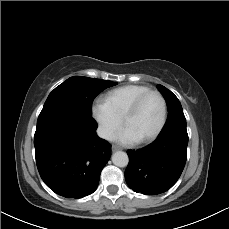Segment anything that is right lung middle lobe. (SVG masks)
<instances>
[{
    "label": "right lung middle lobe",
    "mask_w": 229,
    "mask_h": 229,
    "mask_svg": "<svg viewBox=\"0 0 229 229\" xmlns=\"http://www.w3.org/2000/svg\"><path fill=\"white\" fill-rule=\"evenodd\" d=\"M117 83L109 80L73 76L57 86L48 96L40 114L72 110L91 115L94 98Z\"/></svg>",
    "instance_id": "dd1d6c3e"
}]
</instances>
